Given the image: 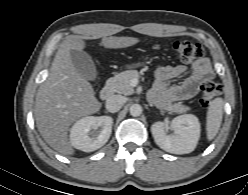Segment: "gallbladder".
Instances as JSON below:
<instances>
[{"instance_id": "bac80fb5", "label": "gallbladder", "mask_w": 248, "mask_h": 195, "mask_svg": "<svg viewBox=\"0 0 248 195\" xmlns=\"http://www.w3.org/2000/svg\"><path fill=\"white\" fill-rule=\"evenodd\" d=\"M70 57L72 64L78 73L88 80L96 79V67L88 53L84 51L70 50Z\"/></svg>"}]
</instances>
